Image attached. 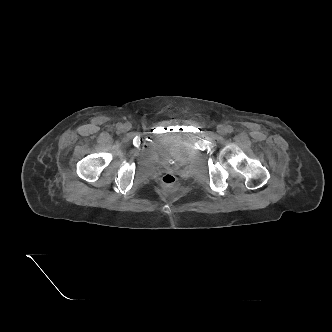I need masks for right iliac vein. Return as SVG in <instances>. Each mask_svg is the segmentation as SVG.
<instances>
[{"instance_id":"obj_1","label":"right iliac vein","mask_w":332,"mask_h":332,"mask_svg":"<svg viewBox=\"0 0 332 332\" xmlns=\"http://www.w3.org/2000/svg\"><path fill=\"white\" fill-rule=\"evenodd\" d=\"M132 128V125L129 122L124 123V125H122V130L123 131H129Z\"/></svg>"}]
</instances>
